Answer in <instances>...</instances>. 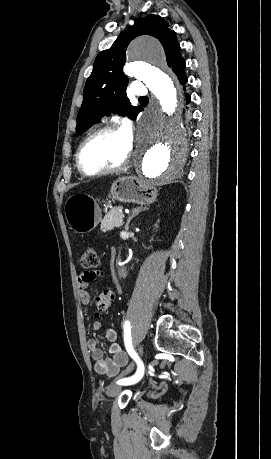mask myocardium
Returning a JSON list of instances; mask_svg holds the SVG:
<instances>
[{
	"label": "myocardium",
	"mask_w": 271,
	"mask_h": 459,
	"mask_svg": "<svg viewBox=\"0 0 271 459\" xmlns=\"http://www.w3.org/2000/svg\"><path fill=\"white\" fill-rule=\"evenodd\" d=\"M109 131H111V132H119V131H122V127L118 122H115V121L107 123L105 125H102V126L96 128L95 130H93L89 134H87L85 136V138L81 141V143H80V145H79V147H78V149L76 151V154H75V162H76V166H77L78 170L82 174H84L86 176H96V175H99V174L120 170L121 168H123L125 165L128 164V162H129V160H130V158L132 156L133 148L130 149V151L125 155L124 158H122L120 161H118L116 163L102 165V166H99V167H96V168H93V169L87 168L84 165L83 160H82V154H83V150H84V147L87 144V142L90 139H92L93 137H95L96 135L104 133V132H109Z\"/></svg>",
	"instance_id": "obj_1"
}]
</instances>
